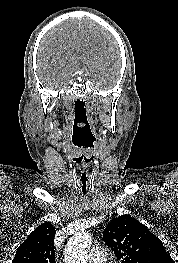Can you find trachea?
I'll use <instances>...</instances> for the list:
<instances>
[{"label": "trachea", "instance_id": "1", "mask_svg": "<svg viewBox=\"0 0 178 263\" xmlns=\"http://www.w3.org/2000/svg\"><path fill=\"white\" fill-rule=\"evenodd\" d=\"M80 181H81L80 182L81 190H82L83 194H86V192H87V181H88L86 173H82Z\"/></svg>", "mask_w": 178, "mask_h": 263}]
</instances>
